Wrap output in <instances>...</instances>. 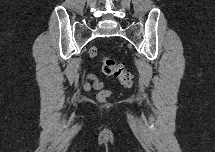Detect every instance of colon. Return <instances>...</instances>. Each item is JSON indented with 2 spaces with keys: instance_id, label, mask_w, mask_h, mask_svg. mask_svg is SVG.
I'll return each instance as SVG.
<instances>
[{
  "instance_id": "1",
  "label": "colon",
  "mask_w": 215,
  "mask_h": 152,
  "mask_svg": "<svg viewBox=\"0 0 215 152\" xmlns=\"http://www.w3.org/2000/svg\"><path fill=\"white\" fill-rule=\"evenodd\" d=\"M88 53L90 57L98 58L105 74L115 77L126 88L132 87L133 77L130 71L123 64H117L108 55L99 54L95 46L90 47ZM110 94L111 92L109 90H102L98 93L97 98L99 101H105Z\"/></svg>"
}]
</instances>
